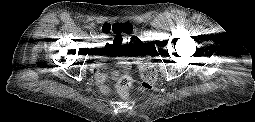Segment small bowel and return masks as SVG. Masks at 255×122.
<instances>
[{"label":"small bowel","instance_id":"obj_1","mask_svg":"<svg viewBox=\"0 0 255 122\" xmlns=\"http://www.w3.org/2000/svg\"><path fill=\"white\" fill-rule=\"evenodd\" d=\"M115 24L123 25L122 23H115ZM104 25L102 26V31L99 34L100 38L105 37V33H104V30H103ZM111 25H113V24H111ZM128 44H130V38L128 36H126L125 34H114L113 39H111L110 41H108L106 43H103L101 45L100 56H101L102 59H104L113 50L118 49V48H120L122 46H125V45H128ZM120 64L123 65V66H127L128 62L127 61H122ZM101 67H102V62L95 63L94 66H93V70H94L95 74L100 78H102Z\"/></svg>","mask_w":255,"mask_h":122}]
</instances>
